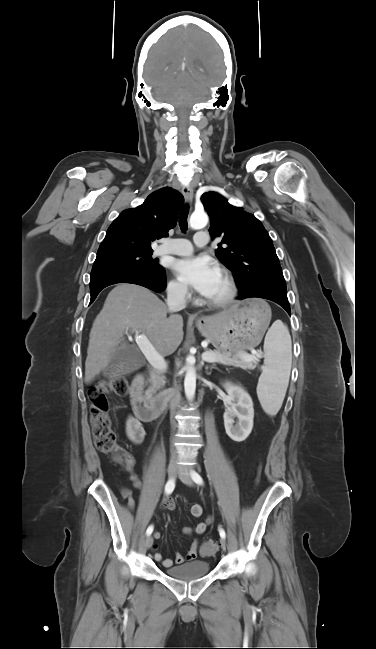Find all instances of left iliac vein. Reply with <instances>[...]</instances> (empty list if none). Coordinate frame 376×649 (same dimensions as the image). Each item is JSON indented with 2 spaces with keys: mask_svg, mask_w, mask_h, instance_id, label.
<instances>
[{
  "mask_svg": "<svg viewBox=\"0 0 376 649\" xmlns=\"http://www.w3.org/2000/svg\"><path fill=\"white\" fill-rule=\"evenodd\" d=\"M178 476H179L180 480L184 484H186L188 486H193V480L191 479V477L183 469H181L178 472ZM220 544H221V548L225 551L226 548H227V543H226V540L224 538H222V537L220 539Z\"/></svg>",
  "mask_w": 376,
  "mask_h": 649,
  "instance_id": "obj_1",
  "label": "left iliac vein"
}]
</instances>
